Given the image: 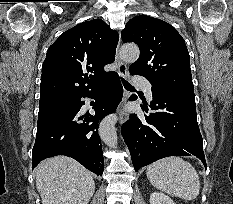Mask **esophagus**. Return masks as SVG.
I'll use <instances>...</instances> for the list:
<instances>
[{"label":"esophagus","mask_w":233,"mask_h":204,"mask_svg":"<svg viewBox=\"0 0 233 204\" xmlns=\"http://www.w3.org/2000/svg\"><path fill=\"white\" fill-rule=\"evenodd\" d=\"M120 33H119V42L116 48V62L118 64V70L119 73L121 74V76H123L124 78L128 77V67L126 65V63L121 59L120 57ZM125 104H126V93H124V97L122 99L121 105H120V109H119V117H120V124H123L124 122L127 121L129 115L125 110Z\"/></svg>","instance_id":"esophagus-1"}]
</instances>
